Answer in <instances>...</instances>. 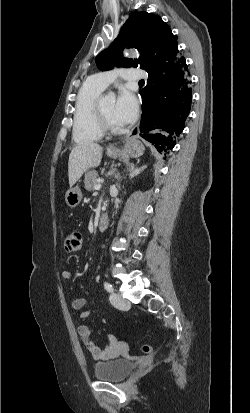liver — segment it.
<instances>
[{"label":"liver","mask_w":250,"mask_h":413,"mask_svg":"<svg viewBox=\"0 0 250 413\" xmlns=\"http://www.w3.org/2000/svg\"><path fill=\"white\" fill-rule=\"evenodd\" d=\"M103 148L94 142L76 145L69 155L68 177L72 187L89 168L97 167L102 159Z\"/></svg>","instance_id":"6515ba94"}]
</instances>
